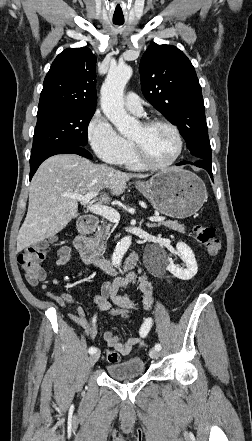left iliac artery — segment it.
I'll return each mask as SVG.
<instances>
[{"label": "left iliac artery", "instance_id": "left-iliac-artery-1", "mask_svg": "<svg viewBox=\"0 0 252 441\" xmlns=\"http://www.w3.org/2000/svg\"><path fill=\"white\" fill-rule=\"evenodd\" d=\"M152 325V319L151 318H147L145 322L142 323V325H140L139 327V333L140 335H142V339H145V336L148 333V330L150 329ZM154 348L158 351L161 350V345L159 343L155 344Z\"/></svg>", "mask_w": 252, "mask_h": 441}]
</instances>
